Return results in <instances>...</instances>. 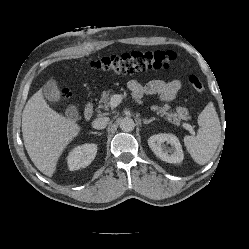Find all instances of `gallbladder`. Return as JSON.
<instances>
[{
	"label": "gallbladder",
	"instance_id": "gallbladder-1",
	"mask_svg": "<svg viewBox=\"0 0 249 249\" xmlns=\"http://www.w3.org/2000/svg\"><path fill=\"white\" fill-rule=\"evenodd\" d=\"M44 97L51 102H58L61 99V93L57 87L54 80H49L43 87ZM66 116L71 120H76L78 118V111L76 107H69L66 112Z\"/></svg>",
	"mask_w": 249,
	"mask_h": 249
}]
</instances>
